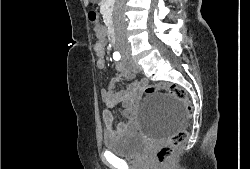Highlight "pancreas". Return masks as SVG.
Segmentation results:
<instances>
[{
    "mask_svg": "<svg viewBox=\"0 0 250 169\" xmlns=\"http://www.w3.org/2000/svg\"><path fill=\"white\" fill-rule=\"evenodd\" d=\"M101 2H107V4H110V6L113 4V0H101Z\"/></svg>",
    "mask_w": 250,
    "mask_h": 169,
    "instance_id": "obj_1",
    "label": "pancreas"
}]
</instances>
